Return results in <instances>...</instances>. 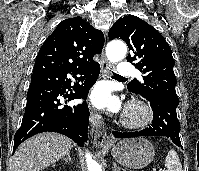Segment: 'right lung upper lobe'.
<instances>
[{
    "label": "right lung upper lobe",
    "instance_id": "1",
    "mask_svg": "<svg viewBox=\"0 0 199 171\" xmlns=\"http://www.w3.org/2000/svg\"><path fill=\"white\" fill-rule=\"evenodd\" d=\"M103 45V33L89 22L81 17L66 19L41 46L33 72L84 68L95 62L93 57L101 52Z\"/></svg>",
    "mask_w": 199,
    "mask_h": 171
}]
</instances>
